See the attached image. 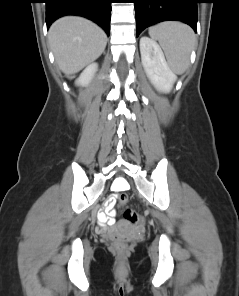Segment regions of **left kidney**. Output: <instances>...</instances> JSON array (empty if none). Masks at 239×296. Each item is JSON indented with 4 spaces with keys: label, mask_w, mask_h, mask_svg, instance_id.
Listing matches in <instances>:
<instances>
[{
    "label": "left kidney",
    "mask_w": 239,
    "mask_h": 296,
    "mask_svg": "<svg viewBox=\"0 0 239 296\" xmlns=\"http://www.w3.org/2000/svg\"><path fill=\"white\" fill-rule=\"evenodd\" d=\"M141 60L152 84L162 92H169L177 77L169 68L164 54L156 41L147 36L140 39Z\"/></svg>",
    "instance_id": "5707ae66"
}]
</instances>
